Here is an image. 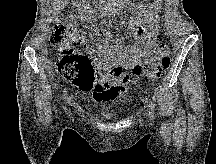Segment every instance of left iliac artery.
Segmentation results:
<instances>
[{
    "label": "left iliac artery",
    "mask_w": 216,
    "mask_h": 164,
    "mask_svg": "<svg viewBox=\"0 0 216 164\" xmlns=\"http://www.w3.org/2000/svg\"><path fill=\"white\" fill-rule=\"evenodd\" d=\"M153 100V99H152ZM155 103L153 102V101H151L150 102V105H149V107H150V109H151V111L149 112V114H150V116L153 118L154 117V109H155Z\"/></svg>",
    "instance_id": "1"
}]
</instances>
